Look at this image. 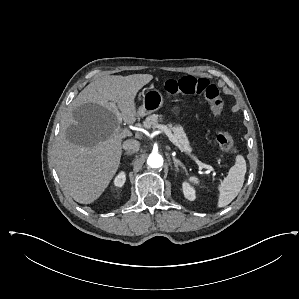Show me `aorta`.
<instances>
[{
	"instance_id": "762f6f07",
	"label": "aorta",
	"mask_w": 299,
	"mask_h": 299,
	"mask_svg": "<svg viewBox=\"0 0 299 299\" xmlns=\"http://www.w3.org/2000/svg\"><path fill=\"white\" fill-rule=\"evenodd\" d=\"M147 165L151 168H160L163 165V158L159 153H151L147 159Z\"/></svg>"
}]
</instances>
